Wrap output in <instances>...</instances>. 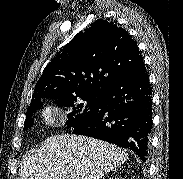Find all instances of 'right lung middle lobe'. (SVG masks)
I'll return each mask as SVG.
<instances>
[{
    "label": "right lung middle lobe",
    "instance_id": "1",
    "mask_svg": "<svg viewBox=\"0 0 183 179\" xmlns=\"http://www.w3.org/2000/svg\"><path fill=\"white\" fill-rule=\"evenodd\" d=\"M55 99V104L60 107H72L73 111L68 114V120L66 125L68 128L75 129L78 126L85 124L89 121L98 111L99 94H83L78 96H60L52 97ZM82 99L86 103L77 104L76 101ZM42 102L38 101L27 109V116L24 123V130L31 128L34 124V120L31 118L36 112V109H40Z\"/></svg>",
    "mask_w": 183,
    "mask_h": 179
}]
</instances>
